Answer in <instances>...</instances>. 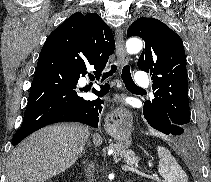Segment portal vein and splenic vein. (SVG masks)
I'll return each instance as SVG.
<instances>
[{
	"instance_id": "1",
	"label": "portal vein and splenic vein",
	"mask_w": 211,
	"mask_h": 182,
	"mask_svg": "<svg viewBox=\"0 0 211 182\" xmlns=\"http://www.w3.org/2000/svg\"><path fill=\"white\" fill-rule=\"evenodd\" d=\"M109 152L112 154L113 150H109ZM123 171H131V172H135L140 174L141 176H146L144 173L139 172L138 170L134 169L133 167H129V166H124L122 167ZM153 179L158 180L159 182H161V179L157 176V175H153Z\"/></svg>"
}]
</instances>
